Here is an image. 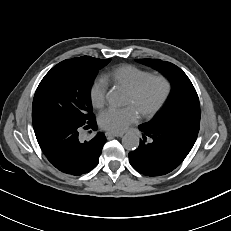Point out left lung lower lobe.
<instances>
[{"mask_svg":"<svg viewBox=\"0 0 231 231\" xmlns=\"http://www.w3.org/2000/svg\"><path fill=\"white\" fill-rule=\"evenodd\" d=\"M143 140L129 153L132 167L148 176L165 175L178 167L192 149L198 133L178 129L139 127ZM149 139V141H146Z\"/></svg>","mask_w":231,"mask_h":231,"instance_id":"1","label":"left lung lower lobe"}]
</instances>
